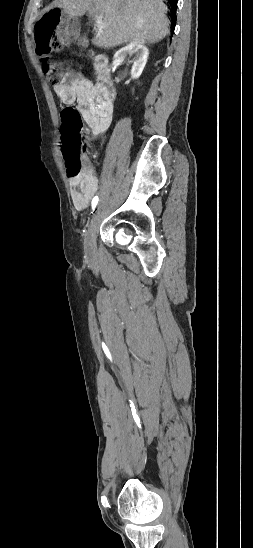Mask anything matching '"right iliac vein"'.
Here are the masks:
<instances>
[{
  "instance_id": "right-iliac-vein-1",
  "label": "right iliac vein",
  "mask_w": 253,
  "mask_h": 548,
  "mask_svg": "<svg viewBox=\"0 0 253 548\" xmlns=\"http://www.w3.org/2000/svg\"><path fill=\"white\" fill-rule=\"evenodd\" d=\"M98 222L99 212L97 211L89 225L84 241L85 254L90 261H94L97 257L96 234L98 230Z\"/></svg>"
}]
</instances>
